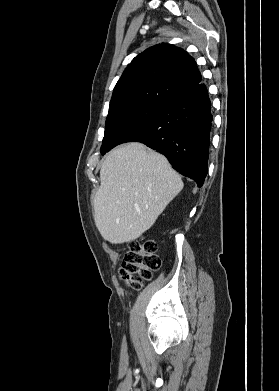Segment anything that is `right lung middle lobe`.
<instances>
[{
    "mask_svg": "<svg viewBox=\"0 0 279 391\" xmlns=\"http://www.w3.org/2000/svg\"><path fill=\"white\" fill-rule=\"evenodd\" d=\"M162 106L148 103L136 104L109 112L101 153L104 155L116 145L124 143L134 133L148 126Z\"/></svg>",
    "mask_w": 279,
    "mask_h": 391,
    "instance_id": "dd1d6c3e",
    "label": "right lung middle lobe"
}]
</instances>
